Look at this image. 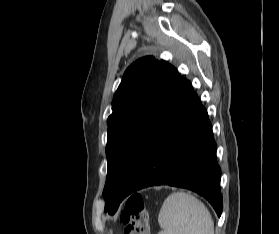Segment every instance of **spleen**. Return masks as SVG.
Segmentation results:
<instances>
[{
    "label": "spleen",
    "instance_id": "3e777b00",
    "mask_svg": "<svg viewBox=\"0 0 279 234\" xmlns=\"http://www.w3.org/2000/svg\"><path fill=\"white\" fill-rule=\"evenodd\" d=\"M158 234H214V223L207 207L185 192L169 195L160 209Z\"/></svg>",
    "mask_w": 279,
    "mask_h": 234
}]
</instances>
